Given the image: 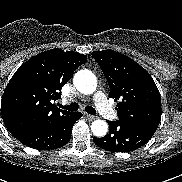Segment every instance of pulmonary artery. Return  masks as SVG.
Instances as JSON below:
<instances>
[{
  "label": "pulmonary artery",
  "instance_id": "e3ab8cb5",
  "mask_svg": "<svg viewBox=\"0 0 182 182\" xmlns=\"http://www.w3.org/2000/svg\"><path fill=\"white\" fill-rule=\"evenodd\" d=\"M94 103L103 117L109 120L116 119L117 115L107 101L105 94L102 91H97L93 96Z\"/></svg>",
  "mask_w": 182,
  "mask_h": 182
}]
</instances>
